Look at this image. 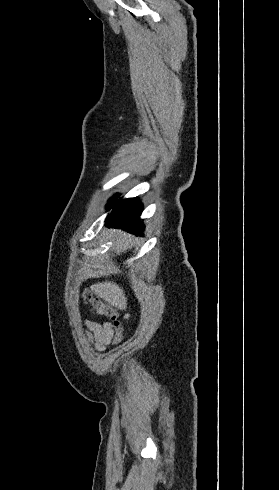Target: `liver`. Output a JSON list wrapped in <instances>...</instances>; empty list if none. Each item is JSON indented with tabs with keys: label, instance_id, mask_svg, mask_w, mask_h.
<instances>
[{
	"label": "liver",
	"instance_id": "obj_1",
	"mask_svg": "<svg viewBox=\"0 0 279 490\" xmlns=\"http://www.w3.org/2000/svg\"><path fill=\"white\" fill-rule=\"evenodd\" d=\"M110 232L109 236L112 238H117L113 246H116L114 250L117 252V256H121L122 252L129 250L127 244H135L136 238L131 236V234H125V232H117V230H108ZM92 292L98 296V298H103L105 302H108L110 306H115V308H120V310H125L127 306V298L124 294V290L117 286L115 282H101V284H94L90 286Z\"/></svg>",
	"mask_w": 279,
	"mask_h": 490
}]
</instances>
